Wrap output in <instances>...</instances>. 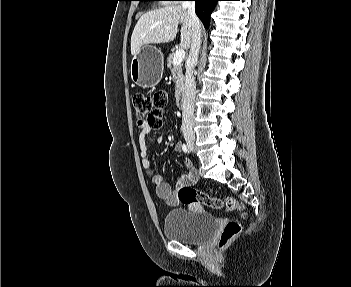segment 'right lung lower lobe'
<instances>
[{"instance_id": "right-lung-lower-lobe-1", "label": "right lung lower lobe", "mask_w": 351, "mask_h": 287, "mask_svg": "<svg viewBox=\"0 0 351 287\" xmlns=\"http://www.w3.org/2000/svg\"><path fill=\"white\" fill-rule=\"evenodd\" d=\"M196 2L195 10L197 16L201 19L204 26L208 28L210 14L213 11L216 2L219 0H194Z\"/></svg>"}]
</instances>
